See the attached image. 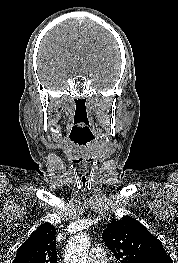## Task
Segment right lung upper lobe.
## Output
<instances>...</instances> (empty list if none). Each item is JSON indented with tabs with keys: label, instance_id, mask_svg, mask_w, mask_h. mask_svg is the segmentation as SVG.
I'll use <instances>...</instances> for the list:
<instances>
[{
	"label": "right lung upper lobe",
	"instance_id": "right-lung-upper-lobe-1",
	"mask_svg": "<svg viewBox=\"0 0 178 263\" xmlns=\"http://www.w3.org/2000/svg\"><path fill=\"white\" fill-rule=\"evenodd\" d=\"M55 227L44 223L18 248L13 263H57Z\"/></svg>",
	"mask_w": 178,
	"mask_h": 263
}]
</instances>
